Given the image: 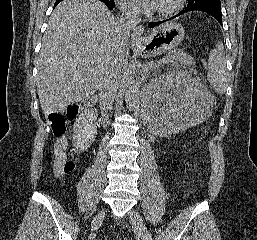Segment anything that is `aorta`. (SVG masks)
Listing matches in <instances>:
<instances>
[{"instance_id": "obj_1", "label": "aorta", "mask_w": 257, "mask_h": 240, "mask_svg": "<svg viewBox=\"0 0 257 240\" xmlns=\"http://www.w3.org/2000/svg\"><path fill=\"white\" fill-rule=\"evenodd\" d=\"M135 67L129 66L123 76V88L126 107L132 111L138 102V86L136 83Z\"/></svg>"}]
</instances>
